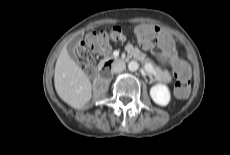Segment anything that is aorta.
<instances>
[{
	"label": "aorta",
	"mask_w": 230,
	"mask_h": 155,
	"mask_svg": "<svg viewBox=\"0 0 230 155\" xmlns=\"http://www.w3.org/2000/svg\"><path fill=\"white\" fill-rule=\"evenodd\" d=\"M138 68H139V64H138L137 61H130L128 63V69H129V71L135 72V71L138 70Z\"/></svg>",
	"instance_id": "762f6f07"
}]
</instances>
